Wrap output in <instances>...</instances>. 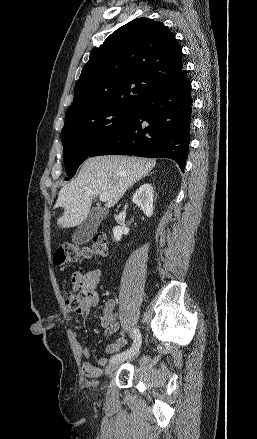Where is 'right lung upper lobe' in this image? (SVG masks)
<instances>
[{
    "instance_id": "cb5924a9",
    "label": "right lung upper lobe",
    "mask_w": 257,
    "mask_h": 439,
    "mask_svg": "<svg viewBox=\"0 0 257 439\" xmlns=\"http://www.w3.org/2000/svg\"><path fill=\"white\" fill-rule=\"evenodd\" d=\"M182 67L181 48L166 26L148 18L135 19L91 52L65 120L106 107L137 108Z\"/></svg>"
}]
</instances>
